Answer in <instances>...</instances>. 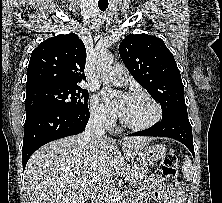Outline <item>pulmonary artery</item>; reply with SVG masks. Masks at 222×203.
<instances>
[{
    "instance_id": "e3ab8cb5",
    "label": "pulmonary artery",
    "mask_w": 222,
    "mask_h": 203,
    "mask_svg": "<svg viewBox=\"0 0 222 203\" xmlns=\"http://www.w3.org/2000/svg\"><path fill=\"white\" fill-rule=\"evenodd\" d=\"M109 79L116 85H125L128 78V71L124 65H114L109 73Z\"/></svg>"
}]
</instances>
